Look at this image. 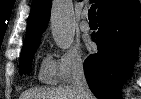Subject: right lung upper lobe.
<instances>
[{
  "instance_id": "obj_1",
  "label": "right lung upper lobe",
  "mask_w": 141,
  "mask_h": 99,
  "mask_svg": "<svg viewBox=\"0 0 141 99\" xmlns=\"http://www.w3.org/2000/svg\"><path fill=\"white\" fill-rule=\"evenodd\" d=\"M98 13L103 10L110 0H95ZM51 0H33L27 24L26 43L40 41V35L46 30L51 12ZM24 44V45H25Z\"/></svg>"
}]
</instances>
